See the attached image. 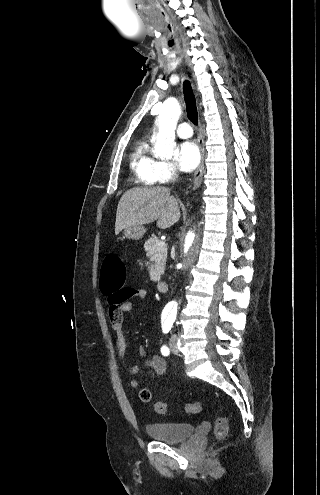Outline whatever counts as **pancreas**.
<instances>
[{
  "mask_svg": "<svg viewBox=\"0 0 320 495\" xmlns=\"http://www.w3.org/2000/svg\"><path fill=\"white\" fill-rule=\"evenodd\" d=\"M159 242H161V240L155 235H152L144 244L147 256L150 257L152 262L150 269L156 271V280H158L160 275L164 272L167 259V246L165 244L164 246L159 247Z\"/></svg>",
  "mask_w": 320,
  "mask_h": 495,
  "instance_id": "1",
  "label": "pancreas"
}]
</instances>
